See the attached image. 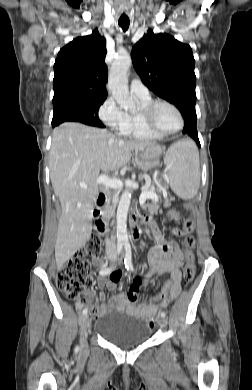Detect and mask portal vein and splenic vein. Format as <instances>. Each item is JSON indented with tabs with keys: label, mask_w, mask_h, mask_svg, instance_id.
<instances>
[{
	"label": "portal vein and splenic vein",
	"mask_w": 252,
	"mask_h": 390,
	"mask_svg": "<svg viewBox=\"0 0 252 390\" xmlns=\"http://www.w3.org/2000/svg\"><path fill=\"white\" fill-rule=\"evenodd\" d=\"M99 184H104L105 186L110 187V188H114V189H119L122 187V181L120 179H110L104 175H101L97 178L96 185H99ZM80 186L82 188L87 187V185L84 182L80 183ZM146 188H147V186H143L141 188L142 193H141L140 198H139L140 204H143L145 202L146 198H150V197L154 196L153 194L148 193L145 190Z\"/></svg>",
	"instance_id": "1"
}]
</instances>
